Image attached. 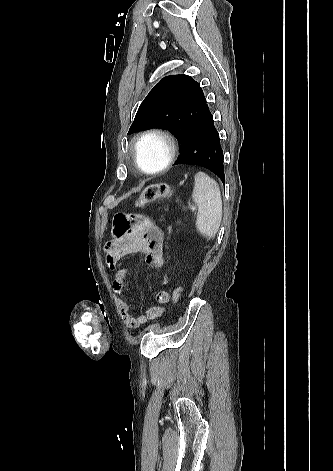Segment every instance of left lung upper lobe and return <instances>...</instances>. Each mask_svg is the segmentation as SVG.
Instances as JSON below:
<instances>
[{
	"label": "left lung upper lobe",
	"mask_w": 333,
	"mask_h": 471,
	"mask_svg": "<svg viewBox=\"0 0 333 471\" xmlns=\"http://www.w3.org/2000/svg\"><path fill=\"white\" fill-rule=\"evenodd\" d=\"M208 105L198 82L188 75L163 78L141 103L128 134L166 128L177 136L182 151Z\"/></svg>",
	"instance_id": "1"
}]
</instances>
